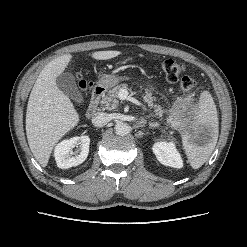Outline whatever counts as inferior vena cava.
<instances>
[{
	"label": "inferior vena cava",
	"instance_id": "1",
	"mask_svg": "<svg viewBox=\"0 0 247 247\" xmlns=\"http://www.w3.org/2000/svg\"><path fill=\"white\" fill-rule=\"evenodd\" d=\"M109 122V116L106 113L98 112L92 117V124L95 127H103Z\"/></svg>",
	"mask_w": 247,
	"mask_h": 247
}]
</instances>
